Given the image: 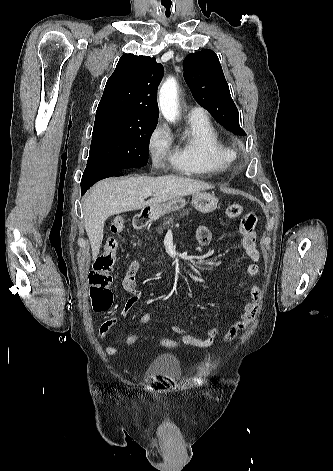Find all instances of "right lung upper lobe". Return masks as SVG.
Listing matches in <instances>:
<instances>
[{
	"label": "right lung upper lobe",
	"instance_id": "cb5924a9",
	"mask_svg": "<svg viewBox=\"0 0 333 471\" xmlns=\"http://www.w3.org/2000/svg\"><path fill=\"white\" fill-rule=\"evenodd\" d=\"M163 71V66L154 57L121 56L106 83L96 117L122 116L157 121L156 93Z\"/></svg>",
	"mask_w": 333,
	"mask_h": 471
}]
</instances>
